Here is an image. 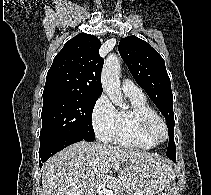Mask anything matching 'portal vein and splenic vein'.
<instances>
[{
	"label": "portal vein and splenic vein",
	"instance_id": "portal-vein-and-splenic-vein-1",
	"mask_svg": "<svg viewBox=\"0 0 211 195\" xmlns=\"http://www.w3.org/2000/svg\"><path fill=\"white\" fill-rule=\"evenodd\" d=\"M104 182L105 181H103L102 183H104ZM96 192L98 193V195H114V193L111 190L105 189L104 184L99 185Z\"/></svg>",
	"mask_w": 211,
	"mask_h": 195
}]
</instances>
